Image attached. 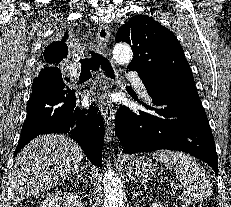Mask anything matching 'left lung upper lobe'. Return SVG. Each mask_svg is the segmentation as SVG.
I'll list each match as a JSON object with an SVG mask.
<instances>
[{"label": "left lung upper lobe", "mask_w": 231, "mask_h": 207, "mask_svg": "<svg viewBox=\"0 0 231 207\" xmlns=\"http://www.w3.org/2000/svg\"><path fill=\"white\" fill-rule=\"evenodd\" d=\"M132 46L128 65L142 78L156 77L163 95L196 90L190 65L175 35L147 15H136L119 28L116 42Z\"/></svg>", "instance_id": "obj_1"}]
</instances>
